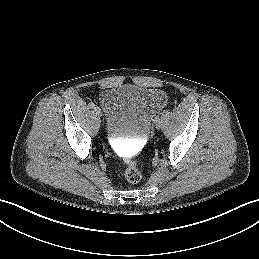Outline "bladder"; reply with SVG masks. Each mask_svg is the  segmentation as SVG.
Returning a JSON list of instances; mask_svg holds the SVG:
<instances>
[{"label": "bladder", "mask_w": 259, "mask_h": 259, "mask_svg": "<svg viewBox=\"0 0 259 259\" xmlns=\"http://www.w3.org/2000/svg\"><path fill=\"white\" fill-rule=\"evenodd\" d=\"M144 93L112 95L108 107V125L112 131L143 135L149 122V97Z\"/></svg>", "instance_id": "bladder-1"}]
</instances>
